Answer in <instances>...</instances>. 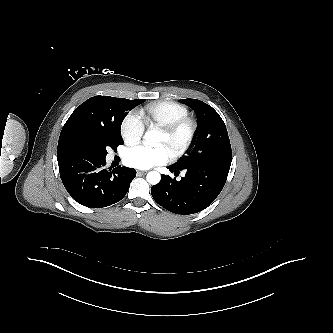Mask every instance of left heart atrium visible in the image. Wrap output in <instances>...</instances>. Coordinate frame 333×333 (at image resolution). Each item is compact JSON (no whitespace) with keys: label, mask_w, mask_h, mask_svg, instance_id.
I'll return each instance as SVG.
<instances>
[{"label":"left heart atrium","mask_w":333,"mask_h":333,"mask_svg":"<svg viewBox=\"0 0 333 333\" xmlns=\"http://www.w3.org/2000/svg\"><path fill=\"white\" fill-rule=\"evenodd\" d=\"M170 158V150L163 145L155 148L137 145L128 148L124 153L126 164L138 169H148L165 164Z\"/></svg>","instance_id":"39dd6f15"}]
</instances>
